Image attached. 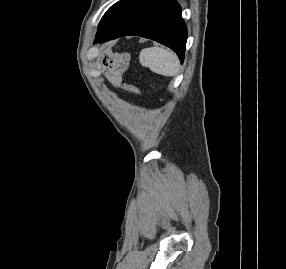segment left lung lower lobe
Here are the masks:
<instances>
[{
	"label": "left lung lower lobe",
	"mask_w": 286,
	"mask_h": 269,
	"mask_svg": "<svg viewBox=\"0 0 286 269\" xmlns=\"http://www.w3.org/2000/svg\"><path fill=\"white\" fill-rule=\"evenodd\" d=\"M138 35L173 49L183 62L187 29L176 0H143L116 25L97 32L95 42Z\"/></svg>",
	"instance_id": "1"
}]
</instances>
